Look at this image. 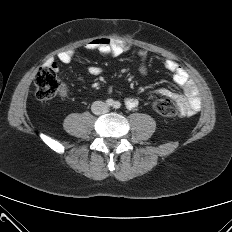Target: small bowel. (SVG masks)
Segmentation results:
<instances>
[{"label":"small bowel","instance_id":"1","mask_svg":"<svg viewBox=\"0 0 232 232\" xmlns=\"http://www.w3.org/2000/svg\"><path fill=\"white\" fill-rule=\"evenodd\" d=\"M85 49L89 51H97L103 55H119L130 50V45L117 38L101 37L87 43ZM138 55L143 60L139 71L142 75H146V59L148 57V51L141 49L139 50ZM57 58L60 64H69L74 58V51H62L58 54ZM163 66L170 74L172 82L180 87L183 93L179 94L166 88L155 89L153 93L174 100L178 104L183 116L196 114L200 110L201 100L198 95L197 87L191 76L183 67L172 59L165 58ZM54 67L56 69L59 68L56 63H54ZM88 71L93 75H99L102 72V69L99 66L91 65L88 67ZM61 94L63 96L67 94V89L65 87L62 88ZM137 105L138 99L136 97L128 96L125 98L126 108L134 109Z\"/></svg>","mask_w":232,"mask_h":232}]
</instances>
